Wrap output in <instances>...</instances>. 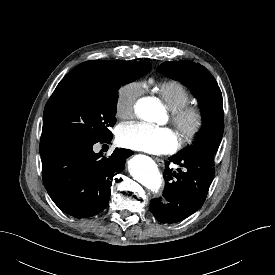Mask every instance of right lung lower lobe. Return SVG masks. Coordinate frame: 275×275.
<instances>
[{"label": "right lung lower lobe", "mask_w": 275, "mask_h": 275, "mask_svg": "<svg viewBox=\"0 0 275 275\" xmlns=\"http://www.w3.org/2000/svg\"><path fill=\"white\" fill-rule=\"evenodd\" d=\"M93 145L60 147L41 156L48 194L63 212L75 218L91 217L106 208L113 177L124 170L126 159L133 154L116 148L104 157L102 152H93Z\"/></svg>", "instance_id": "98d812e1"}]
</instances>
